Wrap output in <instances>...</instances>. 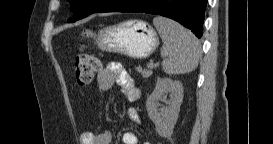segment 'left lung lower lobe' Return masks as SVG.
<instances>
[{
	"instance_id": "left-lung-lower-lobe-1",
	"label": "left lung lower lobe",
	"mask_w": 273,
	"mask_h": 144,
	"mask_svg": "<svg viewBox=\"0 0 273 144\" xmlns=\"http://www.w3.org/2000/svg\"><path fill=\"white\" fill-rule=\"evenodd\" d=\"M98 4L93 13L144 12L161 15L181 23L201 38L207 0H99Z\"/></svg>"
}]
</instances>
